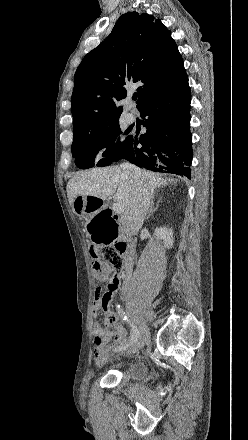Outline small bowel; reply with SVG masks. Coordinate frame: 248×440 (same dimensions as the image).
<instances>
[{
  "instance_id": "small-bowel-1",
  "label": "small bowel",
  "mask_w": 248,
  "mask_h": 440,
  "mask_svg": "<svg viewBox=\"0 0 248 440\" xmlns=\"http://www.w3.org/2000/svg\"><path fill=\"white\" fill-rule=\"evenodd\" d=\"M124 269L122 267H116L113 272L114 277L109 281V286L107 289L97 288L96 290H101L102 292L109 291L111 294V300L113 298L114 293L117 291L119 287V272H122ZM110 302L105 306L101 303L100 300L95 299V302L92 307L93 316L96 317L99 311H103L106 318V323L111 329L102 328L98 322L93 323L92 331L94 337V358L99 363H105L110 353L113 349L122 346L125 342L126 332L121 324H119L117 320V316L110 309ZM111 340L113 342L111 343Z\"/></svg>"
}]
</instances>
